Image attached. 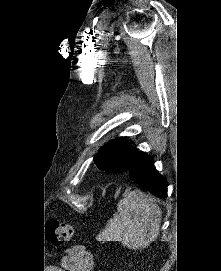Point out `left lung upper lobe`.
<instances>
[{
	"label": "left lung upper lobe",
	"instance_id": "1",
	"mask_svg": "<svg viewBox=\"0 0 221 271\" xmlns=\"http://www.w3.org/2000/svg\"><path fill=\"white\" fill-rule=\"evenodd\" d=\"M137 149L125 137H118L105 144L94 157L96 166L106 172L127 170Z\"/></svg>",
	"mask_w": 221,
	"mask_h": 271
}]
</instances>
